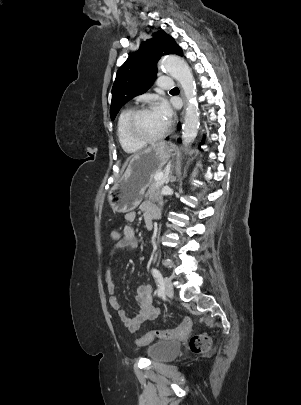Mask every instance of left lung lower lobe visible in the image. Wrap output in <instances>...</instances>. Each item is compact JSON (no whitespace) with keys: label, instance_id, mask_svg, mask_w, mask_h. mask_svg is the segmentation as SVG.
I'll list each match as a JSON object with an SVG mask.
<instances>
[{"label":"left lung lower lobe","instance_id":"1","mask_svg":"<svg viewBox=\"0 0 301 405\" xmlns=\"http://www.w3.org/2000/svg\"><path fill=\"white\" fill-rule=\"evenodd\" d=\"M178 126H180V124L178 125ZM168 139V138H167ZM180 141V140H179ZM202 143H203V141L201 142V144L200 145H202Z\"/></svg>","mask_w":301,"mask_h":405}]
</instances>
